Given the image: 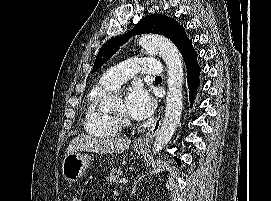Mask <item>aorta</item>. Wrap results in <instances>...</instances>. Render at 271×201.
Returning a JSON list of instances; mask_svg holds the SVG:
<instances>
[{
  "instance_id": "obj_1",
  "label": "aorta",
  "mask_w": 271,
  "mask_h": 201,
  "mask_svg": "<svg viewBox=\"0 0 271 201\" xmlns=\"http://www.w3.org/2000/svg\"><path fill=\"white\" fill-rule=\"evenodd\" d=\"M138 44L150 53L159 54L167 66L168 92L165 116L153 144V153L156 154L171 140L180 123L183 107V63L176 46L163 36L145 34L138 39ZM116 99V96L105 98L102 105L109 107Z\"/></svg>"
}]
</instances>
